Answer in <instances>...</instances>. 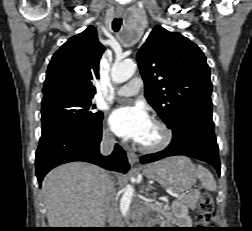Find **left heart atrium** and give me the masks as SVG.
<instances>
[{"label": "left heart atrium", "mask_w": 252, "mask_h": 231, "mask_svg": "<svg viewBox=\"0 0 252 231\" xmlns=\"http://www.w3.org/2000/svg\"><path fill=\"white\" fill-rule=\"evenodd\" d=\"M151 124V118L141 104L117 107L109 117V125L115 134L139 143L146 135Z\"/></svg>", "instance_id": "obj_1"}]
</instances>
